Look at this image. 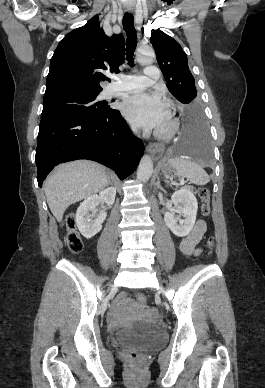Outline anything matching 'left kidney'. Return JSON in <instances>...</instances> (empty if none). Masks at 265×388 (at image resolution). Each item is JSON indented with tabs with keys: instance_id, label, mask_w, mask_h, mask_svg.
<instances>
[{
	"instance_id": "5707ae66",
	"label": "left kidney",
	"mask_w": 265,
	"mask_h": 388,
	"mask_svg": "<svg viewBox=\"0 0 265 388\" xmlns=\"http://www.w3.org/2000/svg\"><path fill=\"white\" fill-rule=\"evenodd\" d=\"M171 200L177 210L166 212V214H164V222L175 236L184 238V236L190 234L196 222L198 202L189 188L177 190V192H174ZM175 212H179L180 216L185 218L181 224H177L178 218H175Z\"/></svg>"
}]
</instances>
